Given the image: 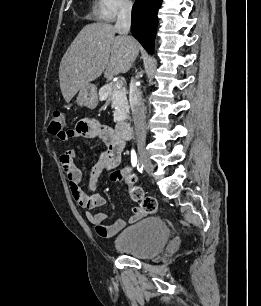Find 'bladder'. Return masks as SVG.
<instances>
[{
    "label": "bladder",
    "instance_id": "1",
    "mask_svg": "<svg viewBox=\"0 0 261 306\" xmlns=\"http://www.w3.org/2000/svg\"><path fill=\"white\" fill-rule=\"evenodd\" d=\"M169 240V228L159 217H147L124 228L113 241L121 253L149 259L162 252Z\"/></svg>",
    "mask_w": 261,
    "mask_h": 306
}]
</instances>
